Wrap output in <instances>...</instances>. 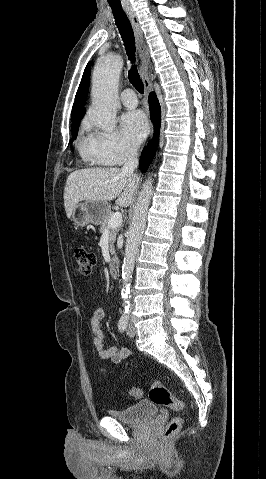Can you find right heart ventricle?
Listing matches in <instances>:
<instances>
[{
	"label": "right heart ventricle",
	"mask_w": 266,
	"mask_h": 479,
	"mask_svg": "<svg viewBox=\"0 0 266 479\" xmlns=\"http://www.w3.org/2000/svg\"><path fill=\"white\" fill-rule=\"evenodd\" d=\"M78 150L82 158L93 164H103L93 154L91 136L82 134L78 142Z\"/></svg>",
	"instance_id": "right-heart-ventricle-1"
}]
</instances>
